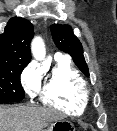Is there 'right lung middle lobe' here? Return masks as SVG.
Wrapping results in <instances>:
<instances>
[{
	"mask_svg": "<svg viewBox=\"0 0 117 131\" xmlns=\"http://www.w3.org/2000/svg\"><path fill=\"white\" fill-rule=\"evenodd\" d=\"M25 65L0 66V104L19 102L25 97L20 74Z\"/></svg>",
	"mask_w": 117,
	"mask_h": 131,
	"instance_id": "right-lung-middle-lobe-1",
	"label": "right lung middle lobe"
}]
</instances>
